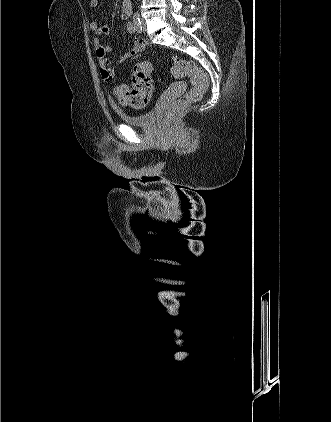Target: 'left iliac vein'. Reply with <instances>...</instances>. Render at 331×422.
Segmentation results:
<instances>
[{
    "instance_id": "1",
    "label": "left iliac vein",
    "mask_w": 331,
    "mask_h": 422,
    "mask_svg": "<svg viewBox=\"0 0 331 422\" xmlns=\"http://www.w3.org/2000/svg\"><path fill=\"white\" fill-rule=\"evenodd\" d=\"M142 27H143V29L145 30L146 26H145V21H144V19H143V18H142Z\"/></svg>"
}]
</instances>
